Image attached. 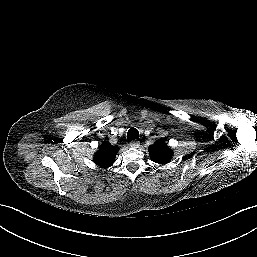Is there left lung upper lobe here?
I'll return each instance as SVG.
<instances>
[{
    "instance_id": "1",
    "label": "left lung upper lobe",
    "mask_w": 257,
    "mask_h": 257,
    "mask_svg": "<svg viewBox=\"0 0 257 257\" xmlns=\"http://www.w3.org/2000/svg\"><path fill=\"white\" fill-rule=\"evenodd\" d=\"M148 150L151 159L156 163L165 164L172 158V151L163 140H157Z\"/></svg>"
}]
</instances>
